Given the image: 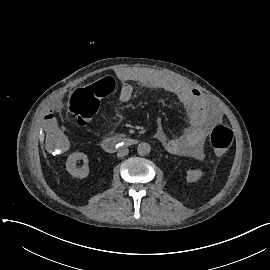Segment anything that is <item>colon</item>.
Masks as SVG:
<instances>
[{
	"label": "colon",
	"mask_w": 270,
	"mask_h": 270,
	"mask_svg": "<svg viewBox=\"0 0 270 270\" xmlns=\"http://www.w3.org/2000/svg\"><path fill=\"white\" fill-rule=\"evenodd\" d=\"M113 85V78L105 76L101 82L76 89L69 101L71 118L78 125L91 122L97 114L101 98L110 95ZM210 141L214 155L222 157L232 144L233 132L224 125H217L210 133Z\"/></svg>",
	"instance_id": "5ec220e1"
}]
</instances>
